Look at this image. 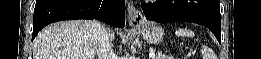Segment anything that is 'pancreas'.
Returning a JSON list of instances; mask_svg holds the SVG:
<instances>
[{
    "label": "pancreas",
    "mask_w": 261,
    "mask_h": 59,
    "mask_svg": "<svg viewBox=\"0 0 261 59\" xmlns=\"http://www.w3.org/2000/svg\"><path fill=\"white\" fill-rule=\"evenodd\" d=\"M153 59H172L170 55H165L162 52H157Z\"/></svg>",
    "instance_id": "obj_1"
}]
</instances>
